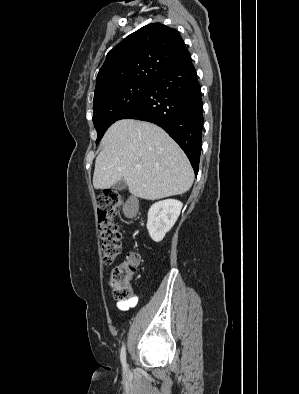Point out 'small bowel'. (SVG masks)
<instances>
[{
	"label": "small bowel",
	"mask_w": 299,
	"mask_h": 394,
	"mask_svg": "<svg viewBox=\"0 0 299 394\" xmlns=\"http://www.w3.org/2000/svg\"><path fill=\"white\" fill-rule=\"evenodd\" d=\"M137 303V298L133 297L128 301H119L116 304V307L120 310V311H127L131 308H133Z\"/></svg>",
	"instance_id": "small-bowel-1"
}]
</instances>
